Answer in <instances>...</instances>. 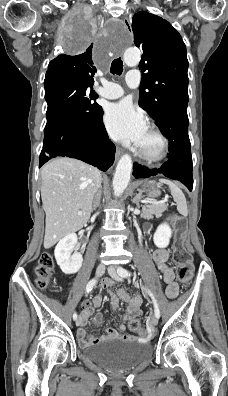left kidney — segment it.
<instances>
[{
	"instance_id": "5707ae66",
	"label": "left kidney",
	"mask_w": 228,
	"mask_h": 396,
	"mask_svg": "<svg viewBox=\"0 0 228 396\" xmlns=\"http://www.w3.org/2000/svg\"><path fill=\"white\" fill-rule=\"evenodd\" d=\"M172 236L171 228L168 224L162 223L158 226L153 236L154 244L159 248H166Z\"/></svg>"
}]
</instances>
